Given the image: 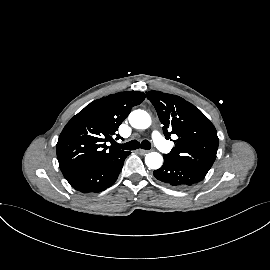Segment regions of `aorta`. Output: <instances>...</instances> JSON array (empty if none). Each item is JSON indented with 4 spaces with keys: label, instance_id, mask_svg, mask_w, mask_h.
<instances>
[{
    "label": "aorta",
    "instance_id": "762f6f07",
    "mask_svg": "<svg viewBox=\"0 0 270 270\" xmlns=\"http://www.w3.org/2000/svg\"><path fill=\"white\" fill-rule=\"evenodd\" d=\"M129 123L136 129H147L151 125V117L144 110H134L130 113ZM145 163L150 169H159L163 163V157L158 152H150L145 157Z\"/></svg>",
    "mask_w": 270,
    "mask_h": 270
}]
</instances>
